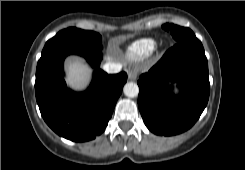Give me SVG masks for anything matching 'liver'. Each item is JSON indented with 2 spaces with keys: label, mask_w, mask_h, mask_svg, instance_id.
Returning <instances> with one entry per match:
<instances>
[{
  "label": "liver",
  "mask_w": 245,
  "mask_h": 170,
  "mask_svg": "<svg viewBox=\"0 0 245 170\" xmlns=\"http://www.w3.org/2000/svg\"><path fill=\"white\" fill-rule=\"evenodd\" d=\"M112 60L110 56H106L109 63ZM91 70L87 64L78 58H70L66 64V83L76 90H83L90 80Z\"/></svg>",
  "instance_id": "obj_1"
}]
</instances>
